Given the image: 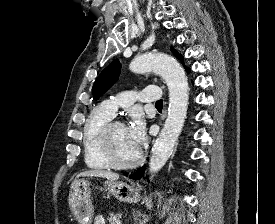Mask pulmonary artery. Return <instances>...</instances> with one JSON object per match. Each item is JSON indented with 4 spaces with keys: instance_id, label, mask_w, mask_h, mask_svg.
Listing matches in <instances>:
<instances>
[{
    "instance_id": "e3ab8cb5",
    "label": "pulmonary artery",
    "mask_w": 275,
    "mask_h": 224,
    "mask_svg": "<svg viewBox=\"0 0 275 224\" xmlns=\"http://www.w3.org/2000/svg\"><path fill=\"white\" fill-rule=\"evenodd\" d=\"M162 92L158 87H145L135 91H125L116 94L102 102L101 107L111 116H114L118 107H126L138 100L141 102H152L161 99Z\"/></svg>"
}]
</instances>
